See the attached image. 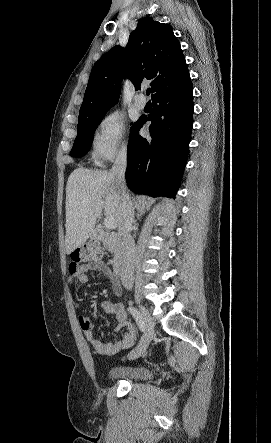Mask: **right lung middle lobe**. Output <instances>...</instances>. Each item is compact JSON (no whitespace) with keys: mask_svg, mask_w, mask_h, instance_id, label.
Wrapping results in <instances>:
<instances>
[{"mask_svg":"<svg viewBox=\"0 0 271 443\" xmlns=\"http://www.w3.org/2000/svg\"><path fill=\"white\" fill-rule=\"evenodd\" d=\"M103 116L81 118L77 125V137L71 150L72 157H81L91 148L93 135Z\"/></svg>","mask_w":271,"mask_h":443,"instance_id":"right-lung-middle-lobe-1","label":"right lung middle lobe"}]
</instances>
